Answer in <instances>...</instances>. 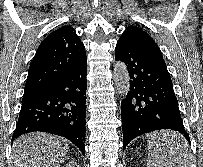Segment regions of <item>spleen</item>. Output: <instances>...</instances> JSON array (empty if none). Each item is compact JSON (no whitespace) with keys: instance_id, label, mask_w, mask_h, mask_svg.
Segmentation results:
<instances>
[{"instance_id":"3e777b00","label":"spleen","mask_w":203,"mask_h":167,"mask_svg":"<svg viewBox=\"0 0 203 167\" xmlns=\"http://www.w3.org/2000/svg\"><path fill=\"white\" fill-rule=\"evenodd\" d=\"M188 144L180 134L172 133L159 140L148 138L147 167H189Z\"/></svg>"}]
</instances>
